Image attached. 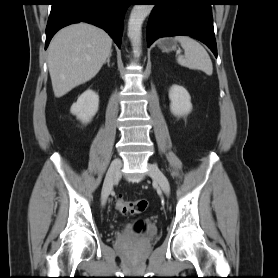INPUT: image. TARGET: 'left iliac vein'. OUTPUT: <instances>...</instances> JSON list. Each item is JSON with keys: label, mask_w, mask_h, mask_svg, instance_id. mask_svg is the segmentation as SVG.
I'll return each instance as SVG.
<instances>
[{"label": "left iliac vein", "mask_w": 278, "mask_h": 278, "mask_svg": "<svg viewBox=\"0 0 278 278\" xmlns=\"http://www.w3.org/2000/svg\"><path fill=\"white\" fill-rule=\"evenodd\" d=\"M147 167L149 176L159 184L163 192L168 196L170 194V185L166 176L156 165L148 164Z\"/></svg>", "instance_id": "4c4485c4"}]
</instances>
